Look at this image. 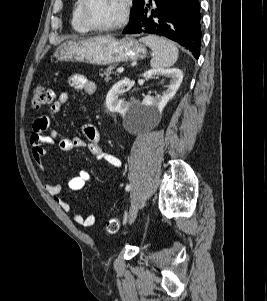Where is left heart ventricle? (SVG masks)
<instances>
[{
  "label": "left heart ventricle",
  "mask_w": 267,
  "mask_h": 301,
  "mask_svg": "<svg viewBox=\"0 0 267 301\" xmlns=\"http://www.w3.org/2000/svg\"><path fill=\"white\" fill-rule=\"evenodd\" d=\"M123 0H90L88 16L96 25L116 22L123 10Z\"/></svg>",
  "instance_id": "left-heart-ventricle-1"
}]
</instances>
